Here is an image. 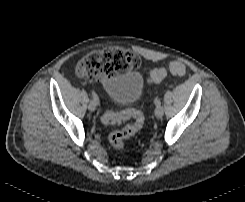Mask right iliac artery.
Returning <instances> with one entry per match:
<instances>
[{
    "instance_id": "1",
    "label": "right iliac artery",
    "mask_w": 245,
    "mask_h": 202,
    "mask_svg": "<svg viewBox=\"0 0 245 202\" xmlns=\"http://www.w3.org/2000/svg\"><path fill=\"white\" fill-rule=\"evenodd\" d=\"M92 98H93V101L96 103V105L100 104L98 96H97V94L94 91H92Z\"/></svg>"
}]
</instances>
